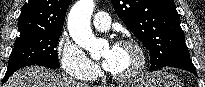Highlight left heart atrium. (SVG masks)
<instances>
[{"label":"left heart atrium","mask_w":205,"mask_h":87,"mask_svg":"<svg viewBox=\"0 0 205 87\" xmlns=\"http://www.w3.org/2000/svg\"><path fill=\"white\" fill-rule=\"evenodd\" d=\"M103 65L106 69H109L110 64L108 60H104Z\"/></svg>","instance_id":"39dd6f15"}]
</instances>
